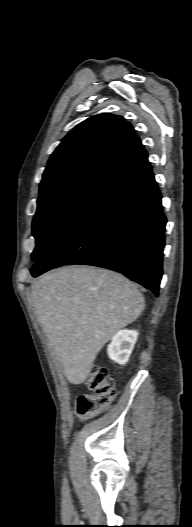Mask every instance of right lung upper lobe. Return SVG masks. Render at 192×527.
<instances>
[{
  "instance_id": "cb5924a9",
  "label": "right lung upper lobe",
  "mask_w": 192,
  "mask_h": 527,
  "mask_svg": "<svg viewBox=\"0 0 192 527\" xmlns=\"http://www.w3.org/2000/svg\"><path fill=\"white\" fill-rule=\"evenodd\" d=\"M131 124L103 113L72 129L51 155L40 192L85 177L109 181L144 152Z\"/></svg>"
}]
</instances>
